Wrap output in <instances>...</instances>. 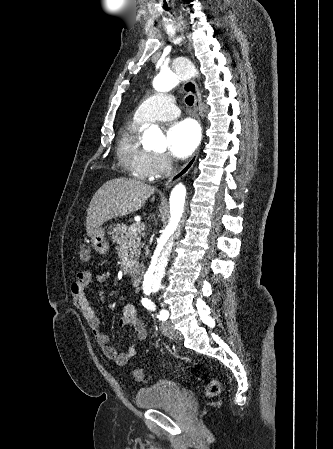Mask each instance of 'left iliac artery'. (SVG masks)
I'll return each mask as SVG.
<instances>
[{
	"instance_id": "left-iliac-artery-1",
	"label": "left iliac artery",
	"mask_w": 333,
	"mask_h": 449,
	"mask_svg": "<svg viewBox=\"0 0 333 449\" xmlns=\"http://www.w3.org/2000/svg\"><path fill=\"white\" fill-rule=\"evenodd\" d=\"M145 306H146L147 309H150V310H152V311H154V310L156 309V308H155V305L153 304V302H151V301H149V300H147ZM168 316H169L168 311H166V310H161L160 313L157 315V318H158L160 321H165V320L168 318Z\"/></svg>"
}]
</instances>
